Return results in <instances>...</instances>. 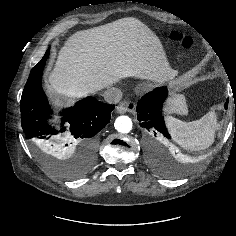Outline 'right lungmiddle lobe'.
Instances as JSON below:
<instances>
[{"label": "right lung middle lobe", "instance_id": "1", "mask_svg": "<svg viewBox=\"0 0 236 236\" xmlns=\"http://www.w3.org/2000/svg\"><path fill=\"white\" fill-rule=\"evenodd\" d=\"M32 146L41 163L49 170H52L63 177L74 178L82 175L93 165L95 159L94 157L91 160H83L81 165L82 167H76L74 166V160L66 163H59L51 155H49L48 151H46L42 146L35 143H32Z\"/></svg>", "mask_w": 236, "mask_h": 236}]
</instances>
